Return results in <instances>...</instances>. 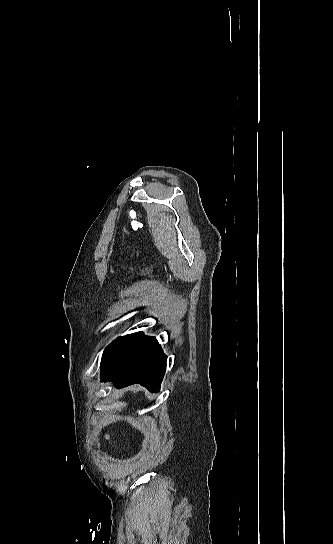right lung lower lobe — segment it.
I'll return each mask as SVG.
<instances>
[{"label":"right lung lower lobe","instance_id":"1","mask_svg":"<svg viewBox=\"0 0 333 544\" xmlns=\"http://www.w3.org/2000/svg\"><path fill=\"white\" fill-rule=\"evenodd\" d=\"M166 360L155 337L142 335L101 366V382L111 381L118 389L140 384L151 392L158 391Z\"/></svg>","mask_w":333,"mask_h":544}]
</instances>
